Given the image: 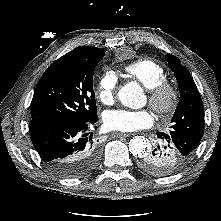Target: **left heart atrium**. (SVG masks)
Here are the masks:
<instances>
[{"instance_id":"1","label":"left heart atrium","mask_w":221,"mask_h":221,"mask_svg":"<svg viewBox=\"0 0 221 221\" xmlns=\"http://www.w3.org/2000/svg\"><path fill=\"white\" fill-rule=\"evenodd\" d=\"M103 122L107 129L121 132H133L147 128L153 123V116L147 109H112L103 114Z\"/></svg>"}]
</instances>
